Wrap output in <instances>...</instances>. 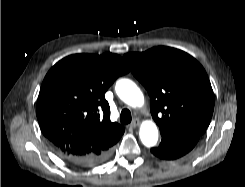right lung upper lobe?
Listing matches in <instances>:
<instances>
[{
    "instance_id": "cb5924a9",
    "label": "right lung upper lobe",
    "mask_w": 245,
    "mask_h": 187,
    "mask_svg": "<svg viewBox=\"0 0 245 187\" xmlns=\"http://www.w3.org/2000/svg\"><path fill=\"white\" fill-rule=\"evenodd\" d=\"M129 72L116 54H75L45 76L36 106L43 135L65 157L85 158L112 148L124 127L110 121L106 90Z\"/></svg>"
}]
</instances>
